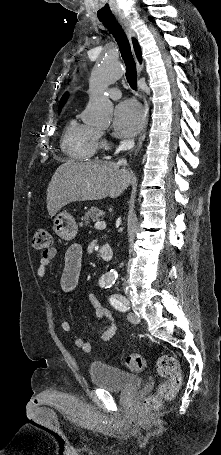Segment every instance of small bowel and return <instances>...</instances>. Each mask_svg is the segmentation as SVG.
<instances>
[{"label":"small bowel","instance_id":"1","mask_svg":"<svg viewBox=\"0 0 221 455\" xmlns=\"http://www.w3.org/2000/svg\"><path fill=\"white\" fill-rule=\"evenodd\" d=\"M56 254V248H50L42 252L36 269V275L38 278L42 279L46 277L47 268ZM82 265V247L77 244L70 246L65 253L64 268L61 276V287L65 292L70 293L76 288L81 274ZM89 301L95 310L96 316L99 319H106L109 322L108 328L100 335L101 341H109L117 332V327L113 321L112 314L100 303L95 294H89ZM61 329L64 332H69L71 330L70 323L63 321L61 323ZM75 345L84 352H90L92 350V343L83 338H76Z\"/></svg>","mask_w":221,"mask_h":455}]
</instances>
